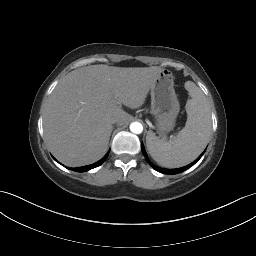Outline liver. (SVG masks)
Listing matches in <instances>:
<instances>
[{
    "mask_svg": "<svg viewBox=\"0 0 256 256\" xmlns=\"http://www.w3.org/2000/svg\"><path fill=\"white\" fill-rule=\"evenodd\" d=\"M160 67L90 65L63 77L53 90L43 115L49 150L64 165L94 163L105 154L113 130L130 120L121 104L141 107Z\"/></svg>",
    "mask_w": 256,
    "mask_h": 256,
    "instance_id": "6515ba94",
    "label": "liver"
}]
</instances>
